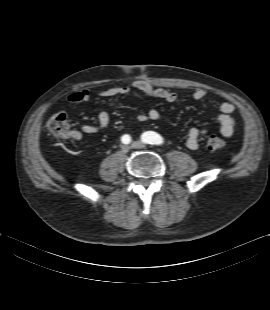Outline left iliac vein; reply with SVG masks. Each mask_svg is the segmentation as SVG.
Here are the masks:
<instances>
[{
    "label": "left iliac vein",
    "instance_id": "obj_1",
    "mask_svg": "<svg viewBox=\"0 0 270 310\" xmlns=\"http://www.w3.org/2000/svg\"><path fill=\"white\" fill-rule=\"evenodd\" d=\"M131 147L134 149H143L146 147V144L141 141H134L132 142Z\"/></svg>",
    "mask_w": 270,
    "mask_h": 310
}]
</instances>
